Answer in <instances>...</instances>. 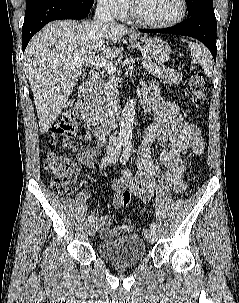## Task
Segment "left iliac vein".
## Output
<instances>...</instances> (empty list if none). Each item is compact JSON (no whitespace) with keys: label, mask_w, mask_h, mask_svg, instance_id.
Segmentation results:
<instances>
[{"label":"left iliac vein","mask_w":239,"mask_h":303,"mask_svg":"<svg viewBox=\"0 0 239 303\" xmlns=\"http://www.w3.org/2000/svg\"><path fill=\"white\" fill-rule=\"evenodd\" d=\"M117 159H118V156L116 155L112 159V163L116 164L117 163ZM145 237H146V239H147L148 242L154 243L157 240L156 230L153 229V228L146 229V231H145Z\"/></svg>","instance_id":"4c4485c4"}]
</instances>
